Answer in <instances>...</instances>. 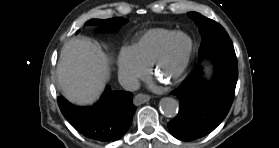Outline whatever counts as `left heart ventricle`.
Wrapping results in <instances>:
<instances>
[{
  "label": "left heart ventricle",
  "instance_id": "b2bd125f",
  "mask_svg": "<svg viewBox=\"0 0 279 148\" xmlns=\"http://www.w3.org/2000/svg\"><path fill=\"white\" fill-rule=\"evenodd\" d=\"M187 47L188 40L186 38L180 37L176 39L170 56L158 73L160 79L169 81L172 78L184 59Z\"/></svg>",
  "mask_w": 279,
  "mask_h": 148
}]
</instances>
